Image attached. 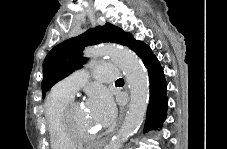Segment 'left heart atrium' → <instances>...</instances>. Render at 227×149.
Instances as JSON below:
<instances>
[{"label": "left heart atrium", "mask_w": 227, "mask_h": 149, "mask_svg": "<svg viewBox=\"0 0 227 149\" xmlns=\"http://www.w3.org/2000/svg\"><path fill=\"white\" fill-rule=\"evenodd\" d=\"M93 116L98 126L108 125L115 113V108L111 97L102 90L95 91L92 94Z\"/></svg>", "instance_id": "39dd6f15"}]
</instances>
